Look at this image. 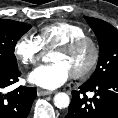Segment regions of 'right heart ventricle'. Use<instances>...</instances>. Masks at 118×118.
I'll return each instance as SVG.
<instances>
[{"label": "right heart ventricle", "mask_w": 118, "mask_h": 118, "mask_svg": "<svg viewBox=\"0 0 118 118\" xmlns=\"http://www.w3.org/2000/svg\"><path fill=\"white\" fill-rule=\"evenodd\" d=\"M86 35L85 29L75 23L58 21L43 26L37 35L44 50L50 51L78 37Z\"/></svg>", "instance_id": "1"}]
</instances>
